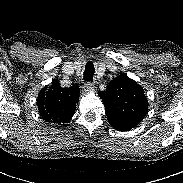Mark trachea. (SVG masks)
<instances>
[{
    "label": "trachea",
    "mask_w": 183,
    "mask_h": 183,
    "mask_svg": "<svg viewBox=\"0 0 183 183\" xmlns=\"http://www.w3.org/2000/svg\"><path fill=\"white\" fill-rule=\"evenodd\" d=\"M94 73H95V69H94L93 63L91 61L87 62L85 70H84V74H83V79L85 81L92 82Z\"/></svg>",
    "instance_id": "1"
}]
</instances>
